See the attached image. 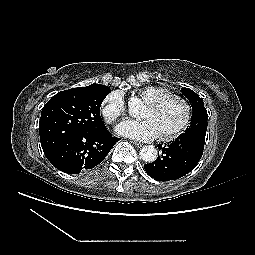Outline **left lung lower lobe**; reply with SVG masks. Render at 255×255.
Returning a JSON list of instances; mask_svg holds the SVG:
<instances>
[{
    "label": "left lung lower lobe",
    "mask_w": 255,
    "mask_h": 255,
    "mask_svg": "<svg viewBox=\"0 0 255 255\" xmlns=\"http://www.w3.org/2000/svg\"><path fill=\"white\" fill-rule=\"evenodd\" d=\"M207 129H195L180 135L175 141L158 145L161 155L145 164V171L159 181L175 180L194 169L202 157Z\"/></svg>",
    "instance_id": "left-lung-lower-lobe-1"
}]
</instances>
